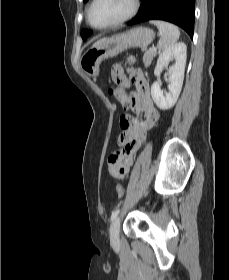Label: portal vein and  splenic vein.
<instances>
[{
    "label": "portal vein and splenic vein",
    "instance_id": "18ae733b",
    "mask_svg": "<svg viewBox=\"0 0 229 280\" xmlns=\"http://www.w3.org/2000/svg\"><path fill=\"white\" fill-rule=\"evenodd\" d=\"M150 50L151 51H156L157 49H156V47H152Z\"/></svg>",
    "mask_w": 229,
    "mask_h": 280
}]
</instances>
